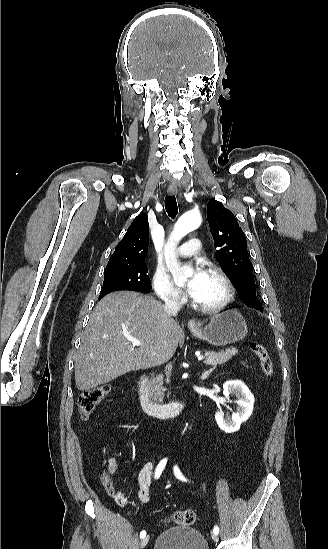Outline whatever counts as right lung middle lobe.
<instances>
[{
    "label": "right lung middle lobe",
    "mask_w": 328,
    "mask_h": 549,
    "mask_svg": "<svg viewBox=\"0 0 328 549\" xmlns=\"http://www.w3.org/2000/svg\"><path fill=\"white\" fill-rule=\"evenodd\" d=\"M145 261L131 265L106 270L104 272L103 287L99 299L118 290H131L147 293L151 289V281L147 275Z\"/></svg>",
    "instance_id": "dd1d6c3e"
}]
</instances>
